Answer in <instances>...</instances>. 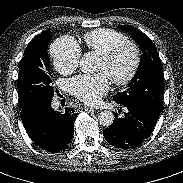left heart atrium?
Returning a JSON list of instances; mask_svg holds the SVG:
<instances>
[{
    "instance_id": "left-heart-atrium-1",
    "label": "left heart atrium",
    "mask_w": 183,
    "mask_h": 183,
    "mask_svg": "<svg viewBox=\"0 0 183 183\" xmlns=\"http://www.w3.org/2000/svg\"><path fill=\"white\" fill-rule=\"evenodd\" d=\"M69 92L86 104H97L109 90L105 73L79 75L69 81Z\"/></svg>"
}]
</instances>
